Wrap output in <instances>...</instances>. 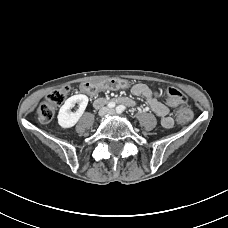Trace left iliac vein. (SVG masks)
Listing matches in <instances>:
<instances>
[{
    "label": "left iliac vein",
    "mask_w": 228,
    "mask_h": 228,
    "mask_svg": "<svg viewBox=\"0 0 228 228\" xmlns=\"http://www.w3.org/2000/svg\"><path fill=\"white\" fill-rule=\"evenodd\" d=\"M108 113H109V114H114V113H115V110L110 109V110L108 111Z\"/></svg>",
    "instance_id": "obj_1"
}]
</instances>
